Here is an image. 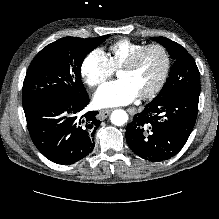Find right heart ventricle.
<instances>
[{"mask_svg": "<svg viewBox=\"0 0 219 219\" xmlns=\"http://www.w3.org/2000/svg\"><path fill=\"white\" fill-rule=\"evenodd\" d=\"M145 46L127 38L119 39L112 43L108 49L107 58L113 69H118L136 51Z\"/></svg>", "mask_w": 219, "mask_h": 219, "instance_id": "e07e8e85", "label": "right heart ventricle"}]
</instances>
